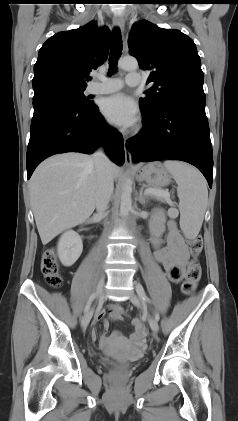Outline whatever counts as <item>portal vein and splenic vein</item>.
<instances>
[{
    "label": "portal vein and splenic vein",
    "instance_id": "18ae733b",
    "mask_svg": "<svg viewBox=\"0 0 238 421\" xmlns=\"http://www.w3.org/2000/svg\"><path fill=\"white\" fill-rule=\"evenodd\" d=\"M146 195H156V196H163V197H169L170 194L167 191L164 190H158V189H151L148 188L145 190Z\"/></svg>",
    "mask_w": 238,
    "mask_h": 421
}]
</instances>
